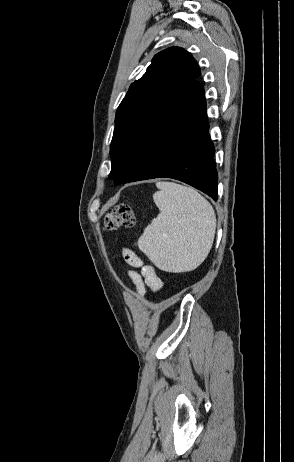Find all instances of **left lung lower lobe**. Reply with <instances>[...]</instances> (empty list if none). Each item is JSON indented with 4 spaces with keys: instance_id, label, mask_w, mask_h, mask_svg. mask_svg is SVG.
Listing matches in <instances>:
<instances>
[{
    "instance_id": "1",
    "label": "left lung lower lobe",
    "mask_w": 294,
    "mask_h": 462,
    "mask_svg": "<svg viewBox=\"0 0 294 462\" xmlns=\"http://www.w3.org/2000/svg\"><path fill=\"white\" fill-rule=\"evenodd\" d=\"M204 89L198 82L156 107L113 178L116 185L152 178L185 182L217 200L218 175L209 142Z\"/></svg>"
}]
</instances>
